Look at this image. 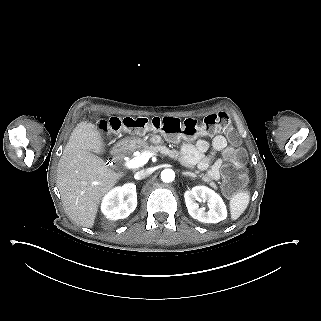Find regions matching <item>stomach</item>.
I'll use <instances>...</instances> for the list:
<instances>
[{"mask_svg":"<svg viewBox=\"0 0 321 321\" xmlns=\"http://www.w3.org/2000/svg\"><path fill=\"white\" fill-rule=\"evenodd\" d=\"M140 141V142H138ZM145 141L139 137H127L124 139L119 140L116 144H115V148L117 149H121L124 148V146H127L129 144H133V145H141L144 144Z\"/></svg>","mask_w":321,"mask_h":321,"instance_id":"obj_1","label":"stomach"}]
</instances>
